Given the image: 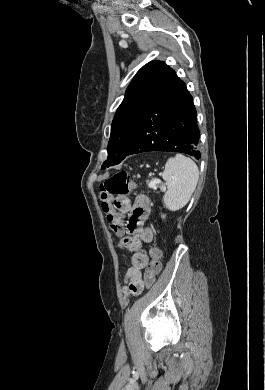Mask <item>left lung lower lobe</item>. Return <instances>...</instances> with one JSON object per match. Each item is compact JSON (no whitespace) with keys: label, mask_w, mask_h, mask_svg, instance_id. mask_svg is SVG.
Masks as SVG:
<instances>
[{"label":"left lung lower lobe","mask_w":265,"mask_h":390,"mask_svg":"<svg viewBox=\"0 0 265 390\" xmlns=\"http://www.w3.org/2000/svg\"><path fill=\"white\" fill-rule=\"evenodd\" d=\"M198 142L193 98L185 83L172 71L145 108L125 157L147 151H166L200 159Z\"/></svg>","instance_id":"1"}]
</instances>
